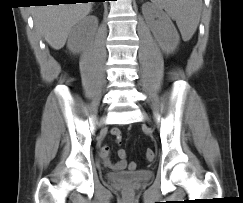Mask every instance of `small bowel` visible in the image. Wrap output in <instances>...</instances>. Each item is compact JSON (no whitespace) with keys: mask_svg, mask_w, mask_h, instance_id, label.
I'll list each match as a JSON object with an SVG mask.
<instances>
[{"mask_svg":"<svg viewBox=\"0 0 243 203\" xmlns=\"http://www.w3.org/2000/svg\"><path fill=\"white\" fill-rule=\"evenodd\" d=\"M111 134L114 137H116V139L118 141L121 140V132H120L119 129L113 128L111 130ZM100 156H101V158L103 160L104 165L106 167L110 168V169L121 171V170H124L126 168L127 164H126L125 156H121L120 155V150L118 151V156H119L120 160L117 161V162H112L111 161V159H110V147L108 145L101 146V148H100ZM129 168L131 169L130 165H129Z\"/></svg>","mask_w":243,"mask_h":203,"instance_id":"1","label":"small bowel"}]
</instances>
